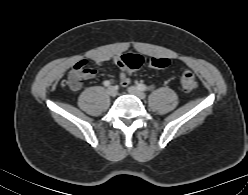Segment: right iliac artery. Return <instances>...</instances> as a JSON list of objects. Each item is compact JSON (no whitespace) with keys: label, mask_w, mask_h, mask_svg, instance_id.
Returning <instances> with one entry per match:
<instances>
[{"label":"right iliac artery","mask_w":248,"mask_h":195,"mask_svg":"<svg viewBox=\"0 0 248 195\" xmlns=\"http://www.w3.org/2000/svg\"><path fill=\"white\" fill-rule=\"evenodd\" d=\"M103 85L108 87L110 85V82L106 80V81L103 82Z\"/></svg>","instance_id":"obj_1"}]
</instances>
